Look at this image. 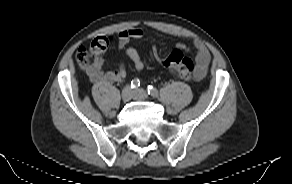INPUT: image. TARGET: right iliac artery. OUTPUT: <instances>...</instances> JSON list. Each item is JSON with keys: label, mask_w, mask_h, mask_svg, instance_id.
<instances>
[{"label": "right iliac artery", "mask_w": 292, "mask_h": 184, "mask_svg": "<svg viewBox=\"0 0 292 184\" xmlns=\"http://www.w3.org/2000/svg\"><path fill=\"white\" fill-rule=\"evenodd\" d=\"M140 86V80L135 78L131 81V88H138Z\"/></svg>", "instance_id": "1"}]
</instances>
